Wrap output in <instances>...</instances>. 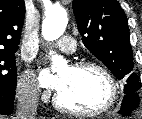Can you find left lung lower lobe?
<instances>
[{"label": "left lung lower lobe", "instance_id": "left-lung-lower-lobe-1", "mask_svg": "<svg viewBox=\"0 0 142 119\" xmlns=\"http://www.w3.org/2000/svg\"><path fill=\"white\" fill-rule=\"evenodd\" d=\"M139 105V98L137 92L126 93L122 107L120 110V114L123 116H127L131 113L132 110L136 109Z\"/></svg>", "mask_w": 142, "mask_h": 119}]
</instances>
